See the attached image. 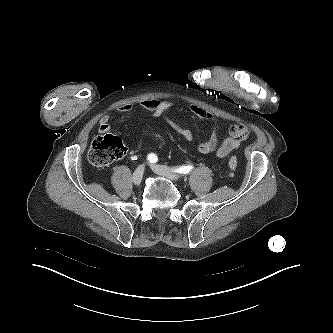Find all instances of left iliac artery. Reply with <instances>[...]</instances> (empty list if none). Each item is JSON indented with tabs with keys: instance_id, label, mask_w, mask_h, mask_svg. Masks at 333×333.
<instances>
[{
	"instance_id": "1",
	"label": "left iliac artery",
	"mask_w": 333,
	"mask_h": 333,
	"mask_svg": "<svg viewBox=\"0 0 333 333\" xmlns=\"http://www.w3.org/2000/svg\"><path fill=\"white\" fill-rule=\"evenodd\" d=\"M192 169H193V166H191V165H188V166L183 165L181 167L176 168L174 171L177 173H180V174H187L190 171H192Z\"/></svg>"
}]
</instances>
